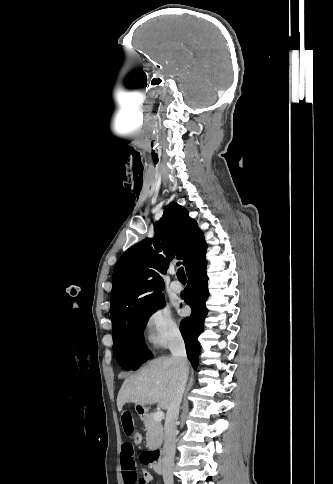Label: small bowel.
<instances>
[{
  "label": "small bowel",
  "mask_w": 333,
  "mask_h": 484,
  "mask_svg": "<svg viewBox=\"0 0 333 484\" xmlns=\"http://www.w3.org/2000/svg\"><path fill=\"white\" fill-rule=\"evenodd\" d=\"M121 426L126 436H133L135 432V420L130 411L124 410L121 413ZM134 447L129 441L122 444L121 448V468L124 484H148L152 480L151 474L147 470L137 472L134 459Z\"/></svg>",
  "instance_id": "obj_1"
}]
</instances>
